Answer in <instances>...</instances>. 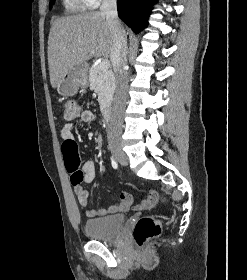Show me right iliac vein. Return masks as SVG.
I'll return each instance as SVG.
<instances>
[{
    "label": "right iliac vein",
    "instance_id": "1",
    "mask_svg": "<svg viewBox=\"0 0 247 280\" xmlns=\"http://www.w3.org/2000/svg\"><path fill=\"white\" fill-rule=\"evenodd\" d=\"M111 152L113 153L114 157L122 164H127V157L124 152L121 150L119 145H111L110 147Z\"/></svg>",
    "mask_w": 247,
    "mask_h": 280
}]
</instances>
